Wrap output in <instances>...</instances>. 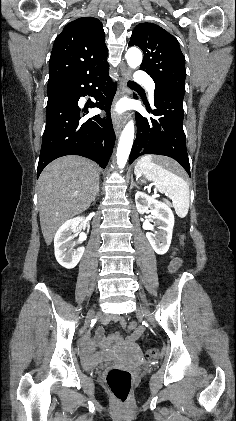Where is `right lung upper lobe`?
<instances>
[{"label":"right lung upper lobe","mask_w":236,"mask_h":421,"mask_svg":"<svg viewBox=\"0 0 236 421\" xmlns=\"http://www.w3.org/2000/svg\"><path fill=\"white\" fill-rule=\"evenodd\" d=\"M102 23L93 17L67 24L56 38L49 62L48 85L108 66Z\"/></svg>","instance_id":"right-lung-upper-lobe-1"}]
</instances>
